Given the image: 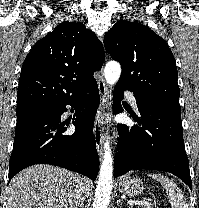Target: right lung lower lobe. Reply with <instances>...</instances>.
<instances>
[{
  "label": "right lung lower lobe",
  "instance_id": "98d812e1",
  "mask_svg": "<svg viewBox=\"0 0 199 208\" xmlns=\"http://www.w3.org/2000/svg\"><path fill=\"white\" fill-rule=\"evenodd\" d=\"M100 103L97 82L79 94L40 109L17 115L13 151L9 162V181L22 169L39 163L56 165L96 179L99 159L93 125ZM66 105L74 107L72 135L61 122Z\"/></svg>",
  "mask_w": 199,
  "mask_h": 208
}]
</instances>
